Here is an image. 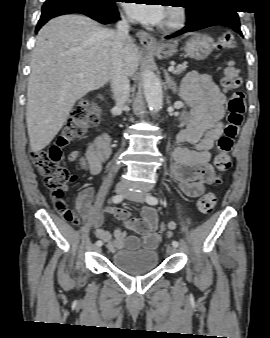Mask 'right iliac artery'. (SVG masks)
Listing matches in <instances>:
<instances>
[{"label": "right iliac artery", "mask_w": 270, "mask_h": 338, "mask_svg": "<svg viewBox=\"0 0 270 338\" xmlns=\"http://www.w3.org/2000/svg\"><path fill=\"white\" fill-rule=\"evenodd\" d=\"M123 199H124V196H123L122 194H119V195L113 196L112 201H113L114 203H120ZM102 244H103V243H102L101 240H98V241L96 242V245H97V246H102Z\"/></svg>", "instance_id": "1"}]
</instances>
